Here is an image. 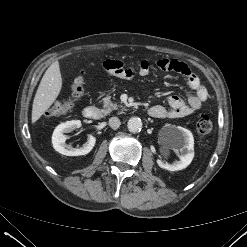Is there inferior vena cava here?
I'll list each match as a JSON object with an SVG mask.
<instances>
[{
	"instance_id": "obj_1",
	"label": "inferior vena cava",
	"mask_w": 247,
	"mask_h": 247,
	"mask_svg": "<svg viewBox=\"0 0 247 247\" xmlns=\"http://www.w3.org/2000/svg\"><path fill=\"white\" fill-rule=\"evenodd\" d=\"M120 120H119V118H117V117H111L110 119H109V125H110V127L112 128V129H118L119 128V126H120Z\"/></svg>"
}]
</instances>
